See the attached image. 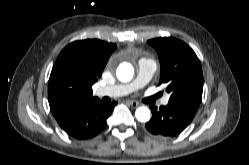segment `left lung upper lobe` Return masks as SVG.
Wrapping results in <instances>:
<instances>
[{"mask_svg":"<svg viewBox=\"0 0 249 165\" xmlns=\"http://www.w3.org/2000/svg\"><path fill=\"white\" fill-rule=\"evenodd\" d=\"M158 53L161 64L160 82L171 95L169 103L197 112L203 91V74L194 51L173 37L148 40Z\"/></svg>","mask_w":249,"mask_h":165,"instance_id":"obj_1","label":"left lung upper lobe"}]
</instances>
